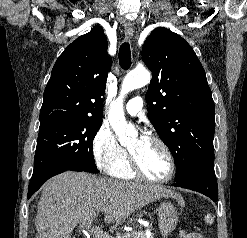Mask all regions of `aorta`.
<instances>
[{
    "label": "aorta",
    "mask_w": 247,
    "mask_h": 238,
    "mask_svg": "<svg viewBox=\"0 0 247 238\" xmlns=\"http://www.w3.org/2000/svg\"><path fill=\"white\" fill-rule=\"evenodd\" d=\"M150 79V73L145 69L134 70L128 73L123 80L120 96L110 107L108 119L121 145H127L137 135L134 127L128 125L126 122L123 110V98L130 91L147 85Z\"/></svg>",
    "instance_id": "1"
}]
</instances>
